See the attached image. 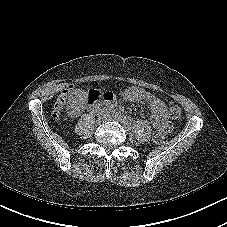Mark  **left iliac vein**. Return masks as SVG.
Returning a JSON list of instances; mask_svg holds the SVG:
<instances>
[{"label":"left iliac vein","mask_w":227,"mask_h":227,"mask_svg":"<svg viewBox=\"0 0 227 227\" xmlns=\"http://www.w3.org/2000/svg\"><path fill=\"white\" fill-rule=\"evenodd\" d=\"M117 121L121 122V123L125 126V128H126L127 130H129L130 127H128V125H127L126 123H124V122H123L122 120H120V119H117Z\"/></svg>","instance_id":"4c4485c4"}]
</instances>
